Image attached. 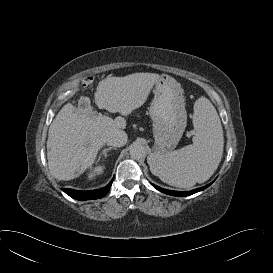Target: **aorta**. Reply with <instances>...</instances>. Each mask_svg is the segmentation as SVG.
<instances>
[{
    "instance_id": "aorta-1",
    "label": "aorta",
    "mask_w": 273,
    "mask_h": 273,
    "mask_svg": "<svg viewBox=\"0 0 273 273\" xmlns=\"http://www.w3.org/2000/svg\"><path fill=\"white\" fill-rule=\"evenodd\" d=\"M130 156L132 159H142L146 155L145 147L140 143H133L130 147Z\"/></svg>"
}]
</instances>
